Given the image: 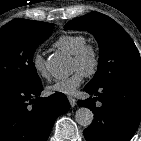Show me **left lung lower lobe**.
<instances>
[{"instance_id":"1","label":"left lung lower lobe","mask_w":141,"mask_h":141,"mask_svg":"<svg viewBox=\"0 0 141 141\" xmlns=\"http://www.w3.org/2000/svg\"><path fill=\"white\" fill-rule=\"evenodd\" d=\"M96 98L78 101L79 106L92 110L94 120L84 130L87 141H130L136 132L141 116V82L116 81L85 89ZM96 100L102 106H95Z\"/></svg>"}]
</instances>
